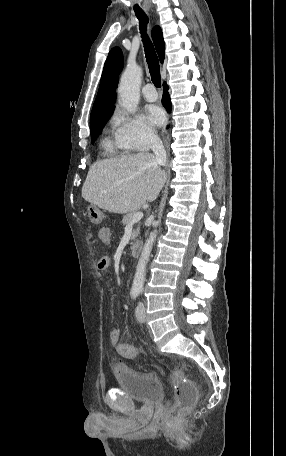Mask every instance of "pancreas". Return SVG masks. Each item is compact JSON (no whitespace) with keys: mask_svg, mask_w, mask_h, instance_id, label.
<instances>
[{"mask_svg":"<svg viewBox=\"0 0 286 456\" xmlns=\"http://www.w3.org/2000/svg\"><path fill=\"white\" fill-rule=\"evenodd\" d=\"M134 214H135L134 211L130 212V213H127L122 219V224L123 225L129 224L131 222L132 217H133ZM139 224H138L137 229L134 230L133 233H132V237H131L132 240L136 239L138 237V235H139V232H140V225Z\"/></svg>","mask_w":286,"mask_h":456,"instance_id":"cf45deb5","label":"pancreas"}]
</instances>
